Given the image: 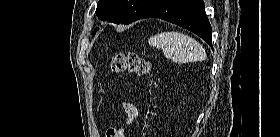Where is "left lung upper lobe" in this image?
<instances>
[{"mask_svg": "<svg viewBox=\"0 0 280 137\" xmlns=\"http://www.w3.org/2000/svg\"><path fill=\"white\" fill-rule=\"evenodd\" d=\"M160 0H99L96 14L103 21L129 24L140 19ZM95 33H93L94 35Z\"/></svg>", "mask_w": 280, "mask_h": 137, "instance_id": "1", "label": "left lung upper lobe"}]
</instances>
